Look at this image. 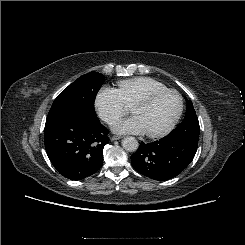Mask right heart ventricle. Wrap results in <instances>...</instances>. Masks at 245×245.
I'll return each instance as SVG.
<instances>
[{"label":"right heart ventricle","mask_w":245,"mask_h":245,"mask_svg":"<svg viewBox=\"0 0 245 245\" xmlns=\"http://www.w3.org/2000/svg\"><path fill=\"white\" fill-rule=\"evenodd\" d=\"M117 92L126 105H131L139 97L167 89L162 82L151 77H135L117 83Z\"/></svg>","instance_id":"right-heart-ventricle-1"}]
</instances>
